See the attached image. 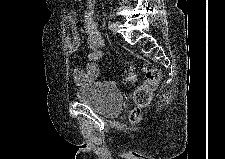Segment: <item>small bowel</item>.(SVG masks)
Listing matches in <instances>:
<instances>
[{
	"label": "small bowel",
	"mask_w": 225,
	"mask_h": 159,
	"mask_svg": "<svg viewBox=\"0 0 225 159\" xmlns=\"http://www.w3.org/2000/svg\"><path fill=\"white\" fill-rule=\"evenodd\" d=\"M68 27L70 36L67 41V52L69 55H74L80 47L81 37L73 14L69 16ZM84 29L89 48L87 53L88 62L82 68L76 66L72 69V77L78 85H85L97 79L100 74L98 61L105 55L104 39L95 21V0H87L86 2Z\"/></svg>",
	"instance_id": "small-bowel-1"
}]
</instances>
